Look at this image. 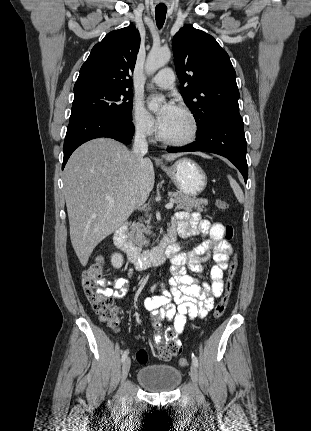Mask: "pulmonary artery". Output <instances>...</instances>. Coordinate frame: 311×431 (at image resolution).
Instances as JSON below:
<instances>
[{
	"label": "pulmonary artery",
	"instance_id": "obj_1",
	"mask_svg": "<svg viewBox=\"0 0 311 431\" xmlns=\"http://www.w3.org/2000/svg\"><path fill=\"white\" fill-rule=\"evenodd\" d=\"M152 81L161 89H169L174 86L175 75L171 68H163L153 77Z\"/></svg>",
	"mask_w": 311,
	"mask_h": 431
}]
</instances>
